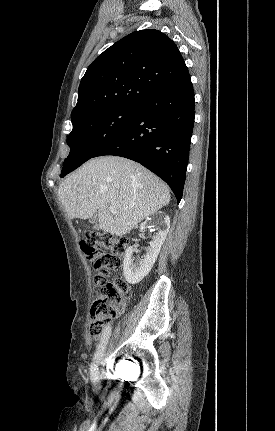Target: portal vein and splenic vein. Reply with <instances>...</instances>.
<instances>
[{
	"mask_svg": "<svg viewBox=\"0 0 275 431\" xmlns=\"http://www.w3.org/2000/svg\"><path fill=\"white\" fill-rule=\"evenodd\" d=\"M109 211H110L111 213H113V214H116V213H117V210H116V208H115L114 206H109Z\"/></svg>",
	"mask_w": 275,
	"mask_h": 431,
	"instance_id": "obj_1",
	"label": "portal vein and splenic vein"
}]
</instances>
